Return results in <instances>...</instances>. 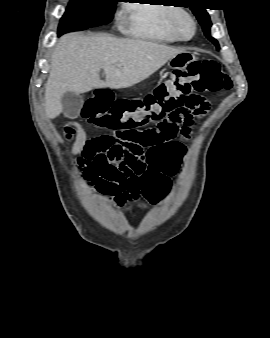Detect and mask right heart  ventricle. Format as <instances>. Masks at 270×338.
I'll list each match as a JSON object with an SVG mask.
<instances>
[{
  "instance_id": "obj_1",
  "label": "right heart ventricle",
  "mask_w": 270,
  "mask_h": 338,
  "mask_svg": "<svg viewBox=\"0 0 270 338\" xmlns=\"http://www.w3.org/2000/svg\"><path fill=\"white\" fill-rule=\"evenodd\" d=\"M162 4V5H161ZM173 4L154 0L149 4L134 3L128 9L129 33L132 36L155 42L177 41L170 29L172 16L180 9Z\"/></svg>"
}]
</instances>
